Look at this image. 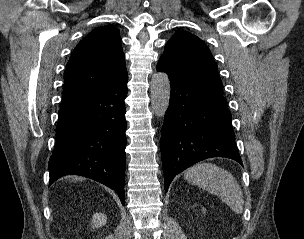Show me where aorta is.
Segmentation results:
<instances>
[{
	"mask_svg": "<svg viewBox=\"0 0 304 239\" xmlns=\"http://www.w3.org/2000/svg\"><path fill=\"white\" fill-rule=\"evenodd\" d=\"M171 86L167 74L155 73L150 83L151 108L156 117H163L169 106Z\"/></svg>",
	"mask_w": 304,
	"mask_h": 239,
	"instance_id": "aorta-1",
	"label": "aorta"
}]
</instances>
